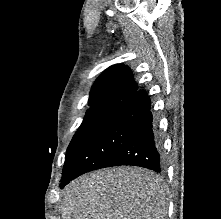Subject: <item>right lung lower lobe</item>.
<instances>
[{
	"label": "right lung lower lobe",
	"mask_w": 221,
	"mask_h": 219,
	"mask_svg": "<svg viewBox=\"0 0 221 219\" xmlns=\"http://www.w3.org/2000/svg\"><path fill=\"white\" fill-rule=\"evenodd\" d=\"M144 90L123 99L66 159L60 187L104 167L133 165L161 172V136Z\"/></svg>",
	"instance_id": "right-lung-lower-lobe-1"
}]
</instances>
